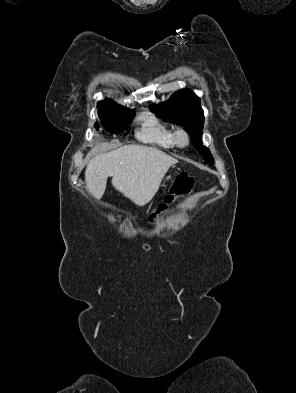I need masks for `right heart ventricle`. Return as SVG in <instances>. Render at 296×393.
I'll return each instance as SVG.
<instances>
[{"instance_id": "right-heart-ventricle-1", "label": "right heart ventricle", "mask_w": 296, "mask_h": 393, "mask_svg": "<svg viewBox=\"0 0 296 393\" xmlns=\"http://www.w3.org/2000/svg\"><path fill=\"white\" fill-rule=\"evenodd\" d=\"M137 137L166 149L173 148L176 145L174 130L152 114H145L141 117V128L137 132Z\"/></svg>"}]
</instances>
